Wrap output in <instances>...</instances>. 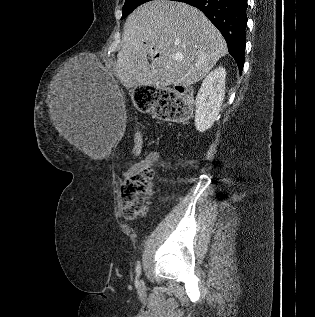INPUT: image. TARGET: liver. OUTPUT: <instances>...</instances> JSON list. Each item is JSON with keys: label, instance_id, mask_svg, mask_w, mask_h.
<instances>
[{"label": "liver", "instance_id": "1", "mask_svg": "<svg viewBox=\"0 0 315 317\" xmlns=\"http://www.w3.org/2000/svg\"><path fill=\"white\" fill-rule=\"evenodd\" d=\"M122 40L116 77L126 88L190 86L227 53L223 36L201 11L169 0H154L134 10L124 24ZM74 104L64 82L55 87L49 115L65 139L85 150L82 120Z\"/></svg>", "mask_w": 315, "mask_h": 317}]
</instances>
